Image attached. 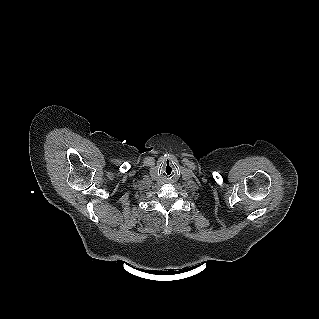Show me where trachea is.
<instances>
[{
  "label": "trachea",
  "instance_id": "3493384b",
  "mask_svg": "<svg viewBox=\"0 0 319 319\" xmlns=\"http://www.w3.org/2000/svg\"><path fill=\"white\" fill-rule=\"evenodd\" d=\"M164 171L166 175H171L173 172V168L169 163H167Z\"/></svg>",
  "mask_w": 319,
  "mask_h": 319
}]
</instances>
